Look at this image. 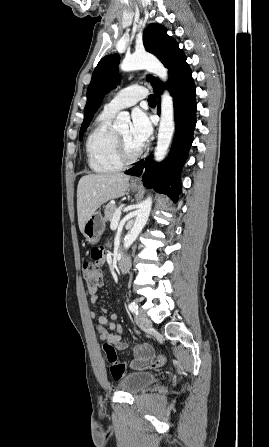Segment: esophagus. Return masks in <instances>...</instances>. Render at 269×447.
<instances>
[{
  "mask_svg": "<svg viewBox=\"0 0 269 447\" xmlns=\"http://www.w3.org/2000/svg\"><path fill=\"white\" fill-rule=\"evenodd\" d=\"M131 183H133V184L141 183V179H140V177H136L135 179H132V180H131Z\"/></svg>",
  "mask_w": 269,
  "mask_h": 447,
  "instance_id": "1",
  "label": "esophagus"
}]
</instances>
